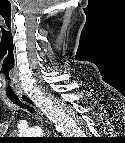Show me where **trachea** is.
<instances>
[{
	"mask_svg": "<svg viewBox=\"0 0 125 143\" xmlns=\"http://www.w3.org/2000/svg\"><path fill=\"white\" fill-rule=\"evenodd\" d=\"M8 98L14 103L22 108L27 109L30 112H34V109L27 104L22 103L16 95H8Z\"/></svg>",
	"mask_w": 125,
	"mask_h": 143,
	"instance_id": "trachea-1",
	"label": "trachea"
}]
</instances>
